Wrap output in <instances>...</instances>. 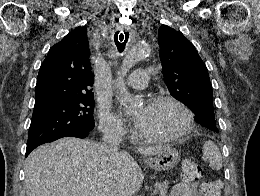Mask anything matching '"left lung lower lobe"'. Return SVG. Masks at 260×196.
Returning <instances> with one entry per match:
<instances>
[{
	"instance_id": "obj_1",
	"label": "left lung lower lobe",
	"mask_w": 260,
	"mask_h": 196,
	"mask_svg": "<svg viewBox=\"0 0 260 196\" xmlns=\"http://www.w3.org/2000/svg\"><path fill=\"white\" fill-rule=\"evenodd\" d=\"M196 121L202 126H209L211 123L215 122V115L213 109L209 108H199L195 112Z\"/></svg>"
}]
</instances>
